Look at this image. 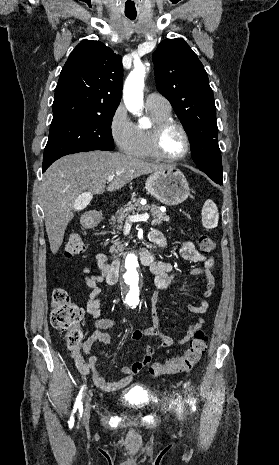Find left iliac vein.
Listing matches in <instances>:
<instances>
[{
  "label": "left iliac vein",
  "instance_id": "obj_1",
  "mask_svg": "<svg viewBox=\"0 0 279 465\" xmlns=\"http://www.w3.org/2000/svg\"><path fill=\"white\" fill-rule=\"evenodd\" d=\"M177 414H178V418L181 419L182 418V410H181V408L177 409Z\"/></svg>",
  "mask_w": 279,
  "mask_h": 465
}]
</instances>
